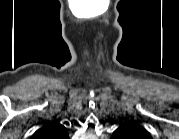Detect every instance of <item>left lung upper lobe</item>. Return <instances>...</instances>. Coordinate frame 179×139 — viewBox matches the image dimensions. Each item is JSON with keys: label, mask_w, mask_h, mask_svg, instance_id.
Instances as JSON below:
<instances>
[{"label": "left lung upper lobe", "mask_w": 179, "mask_h": 139, "mask_svg": "<svg viewBox=\"0 0 179 139\" xmlns=\"http://www.w3.org/2000/svg\"><path fill=\"white\" fill-rule=\"evenodd\" d=\"M124 133L126 135H133V136H145V137H150L149 133L141 127L138 124L135 123H127L121 127H119L115 132L114 135H118Z\"/></svg>", "instance_id": "5c2ea615"}]
</instances>
